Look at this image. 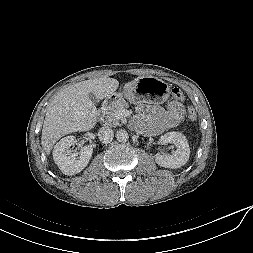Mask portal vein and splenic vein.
<instances>
[{
    "label": "portal vein and splenic vein",
    "instance_id": "1",
    "mask_svg": "<svg viewBox=\"0 0 253 253\" xmlns=\"http://www.w3.org/2000/svg\"><path fill=\"white\" fill-rule=\"evenodd\" d=\"M127 114H128V111H126L125 109H122V110L117 111L115 115L116 117H123Z\"/></svg>",
    "mask_w": 253,
    "mask_h": 253
}]
</instances>
